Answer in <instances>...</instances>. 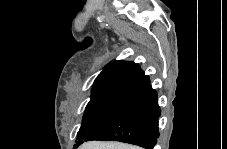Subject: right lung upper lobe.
<instances>
[{
    "label": "right lung upper lobe",
    "mask_w": 227,
    "mask_h": 149,
    "mask_svg": "<svg viewBox=\"0 0 227 149\" xmlns=\"http://www.w3.org/2000/svg\"><path fill=\"white\" fill-rule=\"evenodd\" d=\"M149 82V77L144 74L138 64L130 61H113L98 75L92 92L113 86L139 90Z\"/></svg>",
    "instance_id": "cb5924a9"
}]
</instances>
